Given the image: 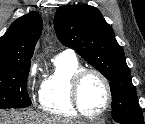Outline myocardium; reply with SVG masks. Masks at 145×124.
Returning <instances> with one entry per match:
<instances>
[{
  "label": "myocardium",
  "mask_w": 145,
  "mask_h": 124,
  "mask_svg": "<svg viewBox=\"0 0 145 124\" xmlns=\"http://www.w3.org/2000/svg\"><path fill=\"white\" fill-rule=\"evenodd\" d=\"M89 75H95L100 79V81L103 83L105 87L106 94H107V100L103 109L98 113H94V114L85 112L81 104V86L84 80L86 79V77ZM70 94H71V101L76 112L80 116L87 119H98L104 116L108 111V109L110 108L113 101L112 88L109 80L101 71L94 68H82L73 75L71 79Z\"/></svg>",
  "instance_id": "f54148a6"
}]
</instances>
